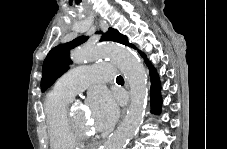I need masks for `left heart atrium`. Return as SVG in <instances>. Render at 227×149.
I'll list each match as a JSON object with an SVG mask.
<instances>
[{
    "label": "left heart atrium",
    "mask_w": 227,
    "mask_h": 149,
    "mask_svg": "<svg viewBox=\"0 0 227 149\" xmlns=\"http://www.w3.org/2000/svg\"><path fill=\"white\" fill-rule=\"evenodd\" d=\"M90 106L95 129L109 128L116 120L118 107L113 97L103 89L91 93Z\"/></svg>",
    "instance_id": "left-heart-atrium-1"
}]
</instances>
